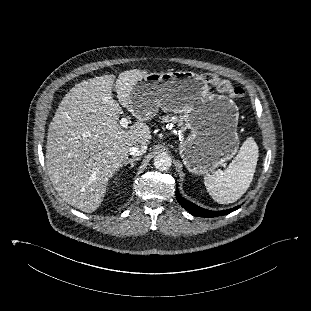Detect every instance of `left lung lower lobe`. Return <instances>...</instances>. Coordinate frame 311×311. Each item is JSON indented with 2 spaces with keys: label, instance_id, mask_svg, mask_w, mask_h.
I'll return each instance as SVG.
<instances>
[{
  "label": "left lung lower lobe",
  "instance_id": "left-lung-lower-lobe-1",
  "mask_svg": "<svg viewBox=\"0 0 311 311\" xmlns=\"http://www.w3.org/2000/svg\"><path fill=\"white\" fill-rule=\"evenodd\" d=\"M176 198L178 202L182 205L183 208H185L189 213H191L194 216L199 217H217L222 216L225 214H229L232 211L237 210L240 206L234 207L232 209L222 210V211H209L206 209H203L187 200L182 198L179 194L178 188H176Z\"/></svg>",
  "mask_w": 311,
  "mask_h": 311
}]
</instances>
